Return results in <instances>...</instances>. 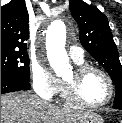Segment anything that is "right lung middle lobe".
Listing matches in <instances>:
<instances>
[{
  "instance_id": "right-lung-middle-lobe-1",
  "label": "right lung middle lobe",
  "mask_w": 122,
  "mask_h": 123,
  "mask_svg": "<svg viewBox=\"0 0 122 123\" xmlns=\"http://www.w3.org/2000/svg\"><path fill=\"white\" fill-rule=\"evenodd\" d=\"M1 72L29 81L30 69L27 52L1 51Z\"/></svg>"
}]
</instances>
